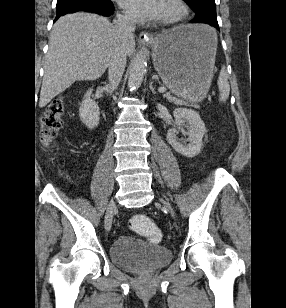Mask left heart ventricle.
<instances>
[{
    "mask_svg": "<svg viewBox=\"0 0 286 308\" xmlns=\"http://www.w3.org/2000/svg\"><path fill=\"white\" fill-rule=\"evenodd\" d=\"M176 9L167 0L162 1L161 12L159 18H166L176 14Z\"/></svg>",
    "mask_w": 286,
    "mask_h": 308,
    "instance_id": "left-heart-ventricle-1",
    "label": "left heart ventricle"
}]
</instances>
